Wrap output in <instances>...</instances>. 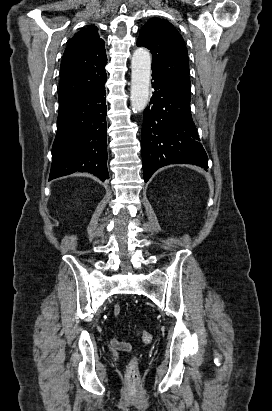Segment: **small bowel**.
Here are the masks:
<instances>
[{
  "mask_svg": "<svg viewBox=\"0 0 272 411\" xmlns=\"http://www.w3.org/2000/svg\"><path fill=\"white\" fill-rule=\"evenodd\" d=\"M119 313H120V306L116 304L113 307V314H114V316H118ZM110 346L113 350H122V351H130L131 350L130 343L120 341L117 338H113L110 341Z\"/></svg>",
  "mask_w": 272,
  "mask_h": 411,
  "instance_id": "c3829d8e",
  "label": "small bowel"
}]
</instances>
